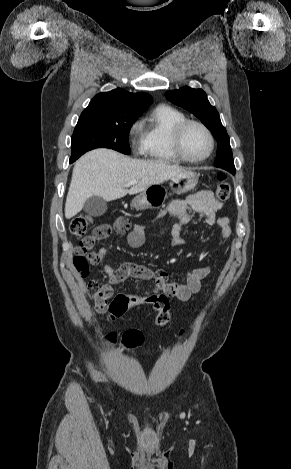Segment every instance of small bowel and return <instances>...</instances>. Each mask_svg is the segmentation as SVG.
I'll return each instance as SVG.
<instances>
[{"label":"small bowel","instance_id":"small-bowel-1","mask_svg":"<svg viewBox=\"0 0 291 469\" xmlns=\"http://www.w3.org/2000/svg\"><path fill=\"white\" fill-rule=\"evenodd\" d=\"M223 204L217 201L210 191H199L185 200L175 199L169 206L160 213V216L174 217L177 222L171 229L174 246H181L187 243L186 238L182 234L183 227L192 221V212L201 215L204 218V223L213 227L216 226L221 231V237L228 239L231 236V228L229 226V218L225 215L216 216L220 211ZM107 232L105 237H108L114 230L117 233L125 234L127 244L137 249L144 245V227L142 224L131 225L130 221L125 217H118L112 225H103ZM89 257L95 258L98 263L102 265L104 273L108 276L109 282L100 285L99 291L93 297L95 308L98 312H108L110 304L108 300L113 296V285L123 282L129 278L150 280L153 279L158 289L162 293H168L170 298H176L179 301H188L192 295L198 293L202 287V281L210 274V267L204 266L196 268L187 273L186 281L184 283L169 282L167 273L164 270H152L146 266L136 263H124L118 268L114 269L106 263L108 251L105 248L95 250L89 254ZM154 295L156 293H153ZM147 295H132L128 294L129 300L147 299Z\"/></svg>","mask_w":291,"mask_h":469}]
</instances>
